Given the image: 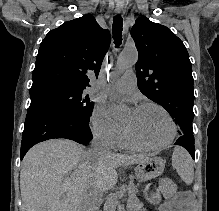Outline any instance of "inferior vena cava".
Listing matches in <instances>:
<instances>
[{"instance_id":"obj_1","label":"inferior vena cava","mask_w":219,"mask_h":211,"mask_svg":"<svg viewBox=\"0 0 219 211\" xmlns=\"http://www.w3.org/2000/svg\"><path fill=\"white\" fill-rule=\"evenodd\" d=\"M110 147L107 145V141L105 137H94L91 141V149H90V159L91 161H95L94 165L92 167L93 171H100L101 167L103 165L102 161H96V159H103V157H108L110 155ZM83 201L81 203V211H96V208H90L94 207L95 203L91 202L92 198L91 197H84Z\"/></svg>"}]
</instances>
